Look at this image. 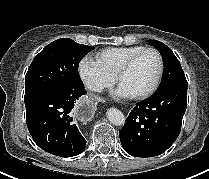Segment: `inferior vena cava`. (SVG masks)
<instances>
[{"label":"inferior vena cava","instance_id":"inferior-vena-cava-1","mask_svg":"<svg viewBox=\"0 0 209 179\" xmlns=\"http://www.w3.org/2000/svg\"><path fill=\"white\" fill-rule=\"evenodd\" d=\"M88 88L97 92L102 90V88L98 85H88Z\"/></svg>","mask_w":209,"mask_h":179}]
</instances>
